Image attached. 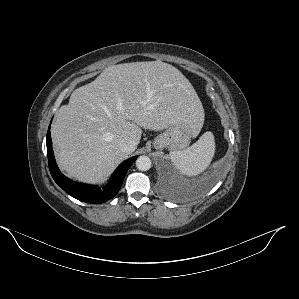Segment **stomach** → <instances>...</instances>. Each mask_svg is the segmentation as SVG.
<instances>
[{"label":"stomach","mask_w":299,"mask_h":299,"mask_svg":"<svg viewBox=\"0 0 299 299\" xmlns=\"http://www.w3.org/2000/svg\"><path fill=\"white\" fill-rule=\"evenodd\" d=\"M192 136L185 122L175 123L153 140V146L159 150L164 148L171 151L183 150L189 145Z\"/></svg>","instance_id":"1"}]
</instances>
